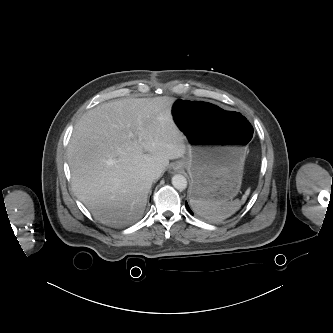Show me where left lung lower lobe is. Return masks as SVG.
<instances>
[{
  "instance_id": "obj_1",
  "label": "left lung lower lobe",
  "mask_w": 333,
  "mask_h": 333,
  "mask_svg": "<svg viewBox=\"0 0 333 333\" xmlns=\"http://www.w3.org/2000/svg\"><path fill=\"white\" fill-rule=\"evenodd\" d=\"M186 207H187V210L189 211V213L193 215V212L190 210V208H189V206H188L187 203H186Z\"/></svg>"
}]
</instances>
